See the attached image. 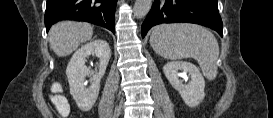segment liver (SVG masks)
<instances>
[{
	"instance_id": "liver-1",
	"label": "liver",
	"mask_w": 273,
	"mask_h": 118,
	"mask_svg": "<svg viewBox=\"0 0 273 118\" xmlns=\"http://www.w3.org/2000/svg\"><path fill=\"white\" fill-rule=\"evenodd\" d=\"M93 27L82 22L64 21L53 25L49 31L50 48L59 57L74 52L80 44L91 40Z\"/></svg>"
}]
</instances>
